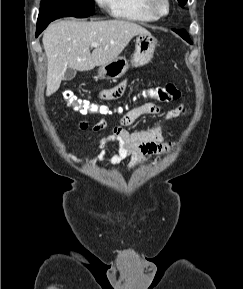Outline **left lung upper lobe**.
I'll list each match as a JSON object with an SVG mask.
<instances>
[{"label":"left lung upper lobe","instance_id":"obj_1","mask_svg":"<svg viewBox=\"0 0 243 289\" xmlns=\"http://www.w3.org/2000/svg\"><path fill=\"white\" fill-rule=\"evenodd\" d=\"M178 2H179L181 5H184V4L187 2V0H178Z\"/></svg>","mask_w":243,"mask_h":289}]
</instances>
